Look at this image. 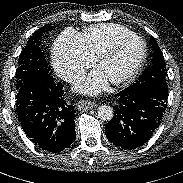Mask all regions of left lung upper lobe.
Returning a JSON list of instances; mask_svg holds the SVG:
<instances>
[{
	"mask_svg": "<svg viewBox=\"0 0 183 183\" xmlns=\"http://www.w3.org/2000/svg\"><path fill=\"white\" fill-rule=\"evenodd\" d=\"M152 44L154 49L152 66L145 70L138 80L128 88L133 93H141L166 101L168 86L165 61L154 37H152Z\"/></svg>",
	"mask_w": 183,
	"mask_h": 183,
	"instance_id": "obj_1",
	"label": "left lung upper lobe"
}]
</instances>
